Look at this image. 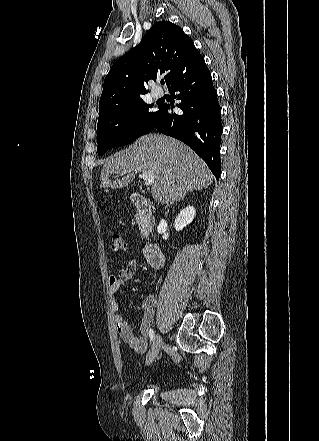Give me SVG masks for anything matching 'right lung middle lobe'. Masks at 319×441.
I'll list each match as a JSON object with an SVG mask.
<instances>
[{
    "label": "right lung middle lobe",
    "instance_id": "right-lung-middle-lobe-1",
    "mask_svg": "<svg viewBox=\"0 0 319 441\" xmlns=\"http://www.w3.org/2000/svg\"><path fill=\"white\" fill-rule=\"evenodd\" d=\"M151 107V104L140 99L100 110L97 124L98 155L149 133L161 111V106H158L157 112H151Z\"/></svg>",
    "mask_w": 319,
    "mask_h": 441
}]
</instances>
